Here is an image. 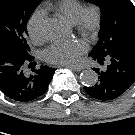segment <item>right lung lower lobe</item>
Masks as SVG:
<instances>
[{
    "label": "right lung lower lobe",
    "instance_id": "obj_1",
    "mask_svg": "<svg viewBox=\"0 0 135 135\" xmlns=\"http://www.w3.org/2000/svg\"><path fill=\"white\" fill-rule=\"evenodd\" d=\"M34 57L23 55L15 48L0 43V91L18 102H29L41 97L47 90L55 72L54 68H32L27 74L26 66L34 64Z\"/></svg>",
    "mask_w": 135,
    "mask_h": 135
}]
</instances>
